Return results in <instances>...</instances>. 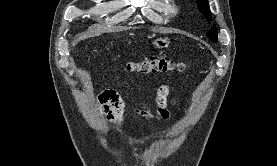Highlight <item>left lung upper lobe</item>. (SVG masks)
I'll return each mask as SVG.
<instances>
[{
    "mask_svg": "<svg viewBox=\"0 0 277 166\" xmlns=\"http://www.w3.org/2000/svg\"><path fill=\"white\" fill-rule=\"evenodd\" d=\"M198 2V6H199V9L201 10V12L203 14H205V16H208L207 12H209V5H208V1L207 0H197ZM205 10L207 12H205ZM206 35L209 37V39L212 41V42H215L217 41V28L215 26H213L210 31H208L206 33Z\"/></svg>",
    "mask_w": 277,
    "mask_h": 166,
    "instance_id": "obj_1",
    "label": "left lung upper lobe"
}]
</instances>
